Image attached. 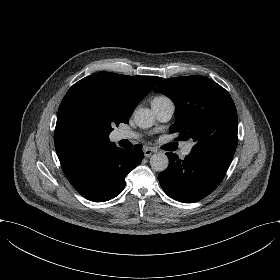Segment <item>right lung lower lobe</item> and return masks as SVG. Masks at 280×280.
<instances>
[{
	"instance_id": "1",
	"label": "right lung lower lobe",
	"mask_w": 280,
	"mask_h": 280,
	"mask_svg": "<svg viewBox=\"0 0 280 280\" xmlns=\"http://www.w3.org/2000/svg\"><path fill=\"white\" fill-rule=\"evenodd\" d=\"M143 157L139 146L133 150L111 146L90 153L65 175L84 198L93 202H104L122 192L125 177L139 165Z\"/></svg>"
}]
</instances>
